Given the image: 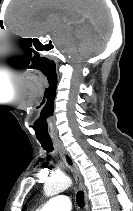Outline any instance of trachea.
Masks as SVG:
<instances>
[{"label": "trachea", "instance_id": "obj_1", "mask_svg": "<svg viewBox=\"0 0 133 211\" xmlns=\"http://www.w3.org/2000/svg\"><path fill=\"white\" fill-rule=\"evenodd\" d=\"M40 143L43 149L48 152H51L54 149L52 141H40ZM76 201L80 207L84 206V194L82 191L77 193Z\"/></svg>", "mask_w": 133, "mask_h": 211}]
</instances>
